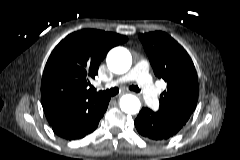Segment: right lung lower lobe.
<instances>
[{
  "mask_svg": "<svg viewBox=\"0 0 240 160\" xmlns=\"http://www.w3.org/2000/svg\"><path fill=\"white\" fill-rule=\"evenodd\" d=\"M110 98L98 99L79 112L61 117L51 125L54 133L67 140H75L93 132L103 117Z\"/></svg>",
  "mask_w": 240,
  "mask_h": 160,
  "instance_id": "obj_1",
  "label": "right lung lower lobe"
}]
</instances>
